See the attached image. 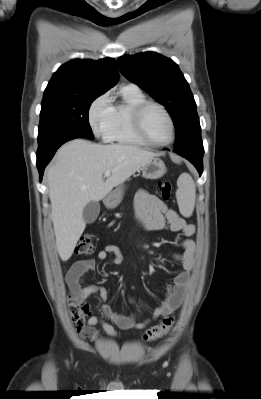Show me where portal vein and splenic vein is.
<instances>
[{
    "instance_id": "1",
    "label": "portal vein and splenic vein",
    "mask_w": 261,
    "mask_h": 399,
    "mask_svg": "<svg viewBox=\"0 0 261 399\" xmlns=\"http://www.w3.org/2000/svg\"><path fill=\"white\" fill-rule=\"evenodd\" d=\"M111 175V171H106L105 173H104V177H109Z\"/></svg>"
}]
</instances>
